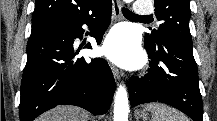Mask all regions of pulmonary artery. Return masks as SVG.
<instances>
[{"label": "pulmonary artery", "mask_w": 217, "mask_h": 121, "mask_svg": "<svg viewBox=\"0 0 217 121\" xmlns=\"http://www.w3.org/2000/svg\"><path fill=\"white\" fill-rule=\"evenodd\" d=\"M134 9L136 15L140 17H150L153 13V9L150 5L137 4Z\"/></svg>", "instance_id": "pulmonary-artery-1"}]
</instances>
